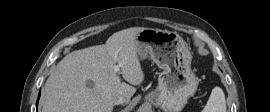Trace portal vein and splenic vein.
I'll use <instances>...</instances> for the list:
<instances>
[{
    "label": "portal vein and splenic vein",
    "instance_id": "1",
    "mask_svg": "<svg viewBox=\"0 0 270 112\" xmlns=\"http://www.w3.org/2000/svg\"><path fill=\"white\" fill-rule=\"evenodd\" d=\"M114 71L118 73L120 71L119 67L117 65H114Z\"/></svg>",
    "mask_w": 270,
    "mask_h": 112
}]
</instances>
